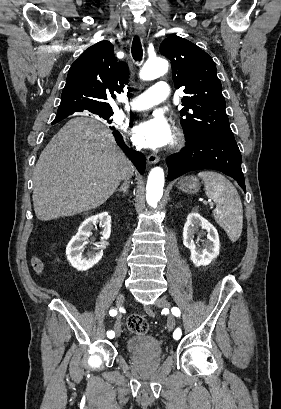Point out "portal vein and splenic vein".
Listing matches in <instances>:
<instances>
[{
  "mask_svg": "<svg viewBox=\"0 0 281 409\" xmlns=\"http://www.w3.org/2000/svg\"><path fill=\"white\" fill-rule=\"evenodd\" d=\"M203 200H212V198L211 197H208V198L200 197L199 198L200 202H202Z\"/></svg>",
  "mask_w": 281,
  "mask_h": 409,
  "instance_id": "portal-vein-and-splenic-vein-1",
  "label": "portal vein and splenic vein"
}]
</instances>
